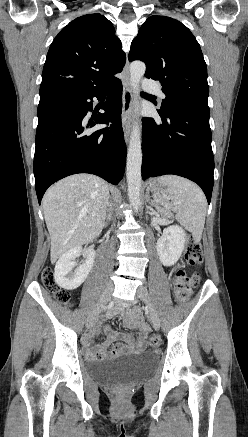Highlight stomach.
Instances as JSON below:
<instances>
[{
  "label": "stomach",
  "instance_id": "obj_1",
  "mask_svg": "<svg viewBox=\"0 0 248 437\" xmlns=\"http://www.w3.org/2000/svg\"><path fill=\"white\" fill-rule=\"evenodd\" d=\"M147 191L153 194V197L157 203L166 204L167 189L156 180H151L148 184Z\"/></svg>",
  "mask_w": 248,
  "mask_h": 437
}]
</instances>
